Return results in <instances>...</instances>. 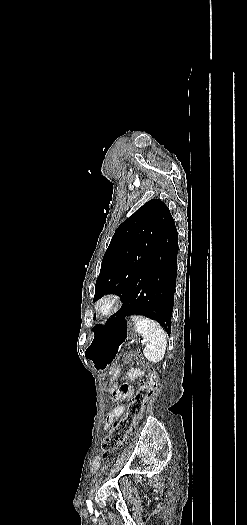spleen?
<instances>
[{"label": "spleen", "mask_w": 247, "mask_h": 525, "mask_svg": "<svg viewBox=\"0 0 247 525\" xmlns=\"http://www.w3.org/2000/svg\"><path fill=\"white\" fill-rule=\"evenodd\" d=\"M135 323L137 333H140L141 337L144 338L146 347L143 351L145 359L151 361V363H159L162 361L166 347V335L156 321L146 319V317H131Z\"/></svg>", "instance_id": "3e777b00"}]
</instances>
